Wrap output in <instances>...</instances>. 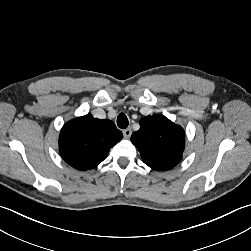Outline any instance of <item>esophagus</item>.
<instances>
[{"mask_svg": "<svg viewBox=\"0 0 251 251\" xmlns=\"http://www.w3.org/2000/svg\"><path fill=\"white\" fill-rule=\"evenodd\" d=\"M131 134H132L131 128H127V129L123 130V135L125 138H129L131 136Z\"/></svg>", "mask_w": 251, "mask_h": 251, "instance_id": "34e87169", "label": "esophagus"}]
</instances>
